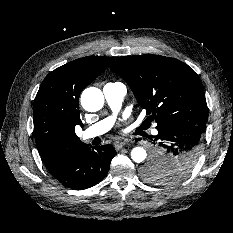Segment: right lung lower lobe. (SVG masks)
Listing matches in <instances>:
<instances>
[{
  "mask_svg": "<svg viewBox=\"0 0 233 233\" xmlns=\"http://www.w3.org/2000/svg\"><path fill=\"white\" fill-rule=\"evenodd\" d=\"M115 155L110 144L90 148L84 143L59 153L45 165L65 187L81 190L96 185L106 176Z\"/></svg>",
  "mask_w": 233,
  "mask_h": 233,
  "instance_id": "right-lung-lower-lobe-1",
  "label": "right lung lower lobe"
}]
</instances>
